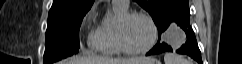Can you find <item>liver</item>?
Wrapping results in <instances>:
<instances>
[{"instance_id": "liver-1", "label": "liver", "mask_w": 242, "mask_h": 64, "mask_svg": "<svg viewBox=\"0 0 242 64\" xmlns=\"http://www.w3.org/2000/svg\"><path fill=\"white\" fill-rule=\"evenodd\" d=\"M149 62V58L138 57L130 59H112L100 57H73L61 61L59 64H142Z\"/></svg>"}]
</instances>
